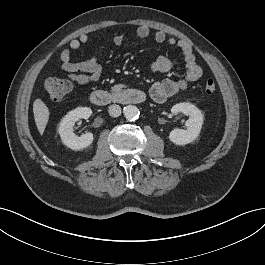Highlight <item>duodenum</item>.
<instances>
[{"mask_svg": "<svg viewBox=\"0 0 265 265\" xmlns=\"http://www.w3.org/2000/svg\"><path fill=\"white\" fill-rule=\"evenodd\" d=\"M145 99V93L136 88L121 91L96 90L90 95L91 102L96 106H106L113 103L141 104Z\"/></svg>", "mask_w": 265, "mask_h": 265, "instance_id": "410a0bca", "label": "duodenum"}]
</instances>
